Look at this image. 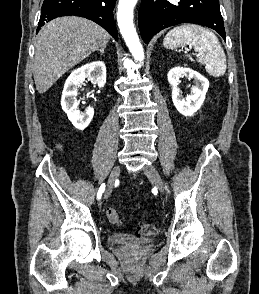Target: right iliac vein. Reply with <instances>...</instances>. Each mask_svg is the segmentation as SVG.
Listing matches in <instances>:
<instances>
[{"label":"right iliac vein","mask_w":259,"mask_h":294,"mask_svg":"<svg viewBox=\"0 0 259 294\" xmlns=\"http://www.w3.org/2000/svg\"><path fill=\"white\" fill-rule=\"evenodd\" d=\"M120 167L119 166H115L111 173H110V176H109V179H108V184H107V187H106V191H105V194H104V198L105 199H108L113 191V188H114V183L116 181V179L119 177L120 175Z\"/></svg>","instance_id":"1"}]
</instances>
